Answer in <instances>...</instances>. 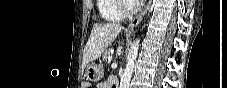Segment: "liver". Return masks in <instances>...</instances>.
Segmentation results:
<instances>
[{
  "instance_id": "obj_1",
  "label": "liver",
  "mask_w": 227,
  "mask_h": 88,
  "mask_svg": "<svg viewBox=\"0 0 227 88\" xmlns=\"http://www.w3.org/2000/svg\"><path fill=\"white\" fill-rule=\"evenodd\" d=\"M122 26L116 23H95L83 52V63L87 65L96 60L116 39Z\"/></svg>"
}]
</instances>
